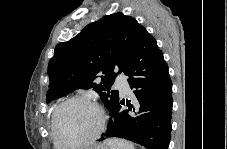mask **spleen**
Instances as JSON below:
<instances>
[{
    "label": "spleen",
    "instance_id": "spleen-1",
    "mask_svg": "<svg viewBox=\"0 0 227 149\" xmlns=\"http://www.w3.org/2000/svg\"><path fill=\"white\" fill-rule=\"evenodd\" d=\"M106 143L110 147V149H135L134 145L131 142L124 139H108Z\"/></svg>",
    "mask_w": 227,
    "mask_h": 149
}]
</instances>
